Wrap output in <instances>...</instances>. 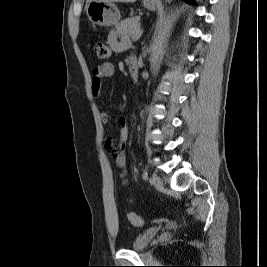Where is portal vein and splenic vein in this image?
Masks as SVG:
<instances>
[{
	"label": "portal vein and splenic vein",
	"mask_w": 267,
	"mask_h": 267,
	"mask_svg": "<svg viewBox=\"0 0 267 267\" xmlns=\"http://www.w3.org/2000/svg\"><path fill=\"white\" fill-rule=\"evenodd\" d=\"M142 30H140L139 32H138V34L137 35H134L133 37H132V39H133V41H137L140 37H141V35H142Z\"/></svg>",
	"instance_id": "18ae733b"
}]
</instances>
